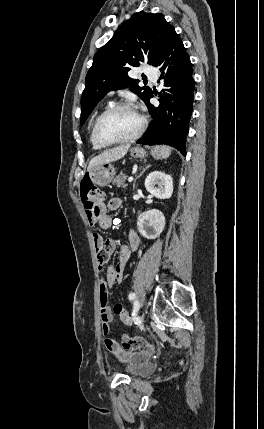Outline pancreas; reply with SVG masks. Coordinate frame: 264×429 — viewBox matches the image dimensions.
Here are the masks:
<instances>
[{
  "instance_id": "pancreas-1",
  "label": "pancreas",
  "mask_w": 264,
  "mask_h": 429,
  "mask_svg": "<svg viewBox=\"0 0 264 429\" xmlns=\"http://www.w3.org/2000/svg\"><path fill=\"white\" fill-rule=\"evenodd\" d=\"M126 179H127V175L125 173L121 172L112 180V183H113V185H116L117 187L125 188L127 186V184L125 183Z\"/></svg>"
}]
</instances>
